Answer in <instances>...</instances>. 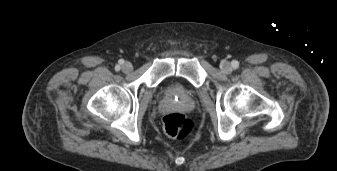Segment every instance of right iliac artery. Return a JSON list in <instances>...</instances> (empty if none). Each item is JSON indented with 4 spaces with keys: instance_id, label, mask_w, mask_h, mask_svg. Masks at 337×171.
<instances>
[{
    "instance_id": "82829eb1",
    "label": "right iliac artery",
    "mask_w": 337,
    "mask_h": 171,
    "mask_svg": "<svg viewBox=\"0 0 337 171\" xmlns=\"http://www.w3.org/2000/svg\"><path fill=\"white\" fill-rule=\"evenodd\" d=\"M119 63H120V64H123L124 61H123V60H120ZM115 70H116V71H119V70H120V66H116V67H115Z\"/></svg>"
}]
</instances>
